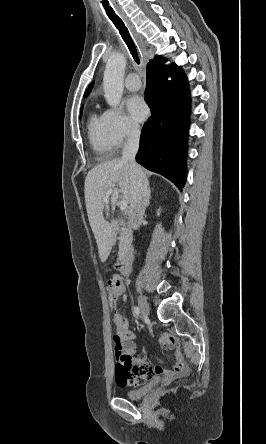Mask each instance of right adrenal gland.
Listing matches in <instances>:
<instances>
[{
	"label": "right adrenal gland",
	"mask_w": 266,
	"mask_h": 444,
	"mask_svg": "<svg viewBox=\"0 0 266 444\" xmlns=\"http://www.w3.org/2000/svg\"><path fill=\"white\" fill-rule=\"evenodd\" d=\"M150 194H151V190H149V199L151 198V197H150ZM149 203H150V202H149Z\"/></svg>",
	"instance_id": "obj_1"
}]
</instances>
